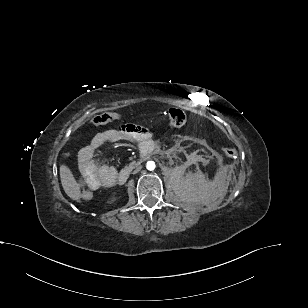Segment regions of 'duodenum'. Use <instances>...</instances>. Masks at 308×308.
I'll return each instance as SVG.
<instances>
[{
  "mask_svg": "<svg viewBox=\"0 0 308 308\" xmlns=\"http://www.w3.org/2000/svg\"><path fill=\"white\" fill-rule=\"evenodd\" d=\"M139 149L141 151V158L137 162L132 164L131 166L126 167L123 170H121V172L118 174V177H117V181L119 184H124L127 181V179L130 176L131 171L134 168L139 167L143 159H145L150 154L154 153L156 150V146L152 142H149V143L143 142L140 144Z\"/></svg>",
  "mask_w": 308,
  "mask_h": 308,
  "instance_id": "1",
  "label": "duodenum"
}]
</instances>
